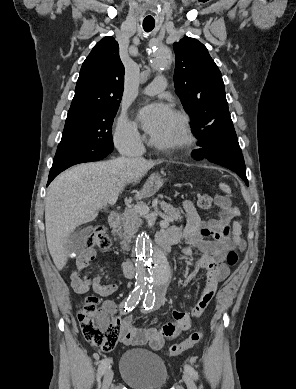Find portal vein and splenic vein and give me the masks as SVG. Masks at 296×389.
I'll list each match as a JSON object with an SVG mask.
<instances>
[{"instance_id": "obj_1", "label": "portal vein and splenic vein", "mask_w": 296, "mask_h": 389, "mask_svg": "<svg viewBox=\"0 0 296 389\" xmlns=\"http://www.w3.org/2000/svg\"><path fill=\"white\" fill-rule=\"evenodd\" d=\"M118 199V195L112 197L110 200H109V204L110 205H114L116 203ZM133 209H135L137 212H139L141 215H146L149 213V207L147 205H135L133 207ZM160 225L162 227H168L169 226V222L166 218H164L163 221H161Z\"/></svg>"}]
</instances>
